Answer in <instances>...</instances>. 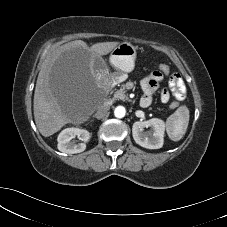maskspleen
I'll use <instances>...</instances> for the list:
<instances>
[{"label": "spleen", "mask_w": 227, "mask_h": 227, "mask_svg": "<svg viewBox=\"0 0 227 227\" xmlns=\"http://www.w3.org/2000/svg\"><path fill=\"white\" fill-rule=\"evenodd\" d=\"M189 110L186 106H180L166 121V129L169 138L179 141L185 134L189 123Z\"/></svg>", "instance_id": "obj_1"}]
</instances>
